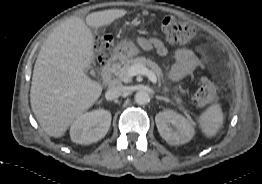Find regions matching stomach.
<instances>
[{"instance_id": "obj_1", "label": "stomach", "mask_w": 262, "mask_h": 184, "mask_svg": "<svg viewBox=\"0 0 262 184\" xmlns=\"http://www.w3.org/2000/svg\"><path fill=\"white\" fill-rule=\"evenodd\" d=\"M139 48L130 40H123L117 44L113 50L112 58L120 61H126L139 54Z\"/></svg>"}]
</instances>
